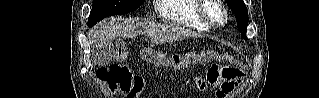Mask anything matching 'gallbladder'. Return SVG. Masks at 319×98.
Instances as JSON below:
<instances>
[{"label": "gallbladder", "mask_w": 319, "mask_h": 98, "mask_svg": "<svg viewBox=\"0 0 319 98\" xmlns=\"http://www.w3.org/2000/svg\"><path fill=\"white\" fill-rule=\"evenodd\" d=\"M93 61L99 66L106 65L111 62L113 57V48L111 43L97 45L92 51Z\"/></svg>", "instance_id": "bac80fb5"}]
</instances>
